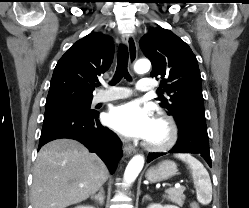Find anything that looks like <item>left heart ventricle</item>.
<instances>
[{
  "instance_id": "left-heart-ventricle-1",
  "label": "left heart ventricle",
  "mask_w": 249,
  "mask_h": 208,
  "mask_svg": "<svg viewBox=\"0 0 249 208\" xmlns=\"http://www.w3.org/2000/svg\"><path fill=\"white\" fill-rule=\"evenodd\" d=\"M166 135V128L162 124L155 121V126L149 141L161 142L166 138Z\"/></svg>"
}]
</instances>
